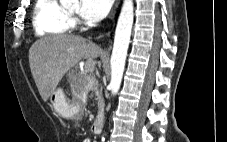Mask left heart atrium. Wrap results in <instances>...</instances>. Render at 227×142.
Masks as SVG:
<instances>
[{"label":"left heart atrium","instance_id":"left-heart-atrium-1","mask_svg":"<svg viewBox=\"0 0 227 142\" xmlns=\"http://www.w3.org/2000/svg\"><path fill=\"white\" fill-rule=\"evenodd\" d=\"M113 0H80L81 15L90 20H101L109 12Z\"/></svg>","mask_w":227,"mask_h":142}]
</instances>
